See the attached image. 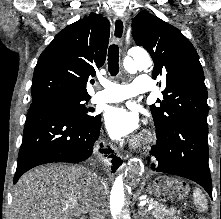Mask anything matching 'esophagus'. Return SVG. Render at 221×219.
Masks as SVG:
<instances>
[{"label": "esophagus", "mask_w": 221, "mask_h": 219, "mask_svg": "<svg viewBox=\"0 0 221 219\" xmlns=\"http://www.w3.org/2000/svg\"><path fill=\"white\" fill-rule=\"evenodd\" d=\"M125 35V20L122 16H116L113 20L112 41L122 43Z\"/></svg>", "instance_id": "1"}]
</instances>
